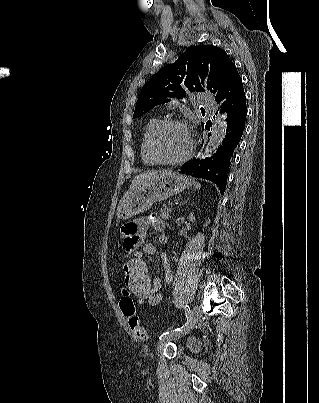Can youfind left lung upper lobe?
Listing matches in <instances>:
<instances>
[{"mask_svg": "<svg viewBox=\"0 0 319 403\" xmlns=\"http://www.w3.org/2000/svg\"><path fill=\"white\" fill-rule=\"evenodd\" d=\"M232 64L226 52L217 47L200 45L189 48L144 85L133 117H140L156 105L169 102L171 97L181 99L189 91L216 93Z\"/></svg>", "mask_w": 319, "mask_h": 403, "instance_id": "obj_1", "label": "left lung upper lobe"}]
</instances>
